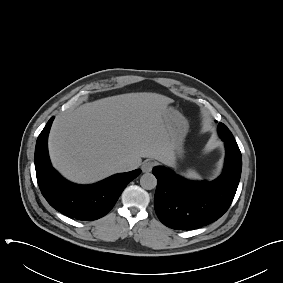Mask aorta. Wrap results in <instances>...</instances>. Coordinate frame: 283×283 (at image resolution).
<instances>
[{"instance_id":"762f6f07","label":"aorta","mask_w":283,"mask_h":283,"mask_svg":"<svg viewBox=\"0 0 283 283\" xmlns=\"http://www.w3.org/2000/svg\"><path fill=\"white\" fill-rule=\"evenodd\" d=\"M140 185L146 190H152L157 185V179L152 173H145L140 178Z\"/></svg>"}]
</instances>
